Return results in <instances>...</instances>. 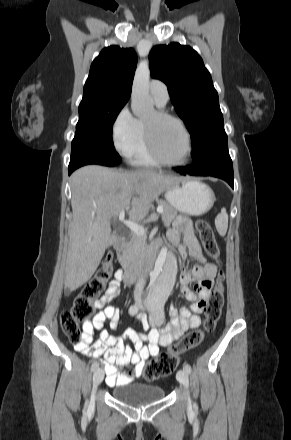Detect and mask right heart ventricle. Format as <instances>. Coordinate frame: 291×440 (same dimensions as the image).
I'll list each match as a JSON object with an SVG mask.
<instances>
[{
    "label": "right heart ventricle",
    "mask_w": 291,
    "mask_h": 440,
    "mask_svg": "<svg viewBox=\"0 0 291 440\" xmlns=\"http://www.w3.org/2000/svg\"><path fill=\"white\" fill-rule=\"evenodd\" d=\"M138 121V136L133 148L127 155V159L135 167H158L160 164L151 156L144 134L143 120Z\"/></svg>",
    "instance_id": "obj_1"
}]
</instances>
